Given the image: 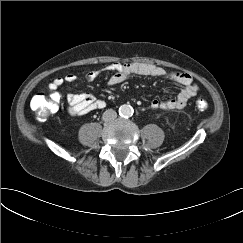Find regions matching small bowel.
Instances as JSON below:
<instances>
[{
    "mask_svg": "<svg viewBox=\"0 0 243 243\" xmlns=\"http://www.w3.org/2000/svg\"><path fill=\"white\" fill-rule=\"evenodd\" d=\"M109 69L113 72L108 80L109 86L120 84L130 76L166 77L183 86L175 98L165 100L153 99L150 103L153 109H182L186 106L188 100L198 92V85L190 74L184 72H168L155 64L116 62L110 64ZM99 74L100 71H90L86 74V79L93 81ZM76 80L77 76L74 74H68L63 78H56L49 84V91L50 93H58V89L64 83L74 84ZM105 106L106 101L104 99L96 98L90 93L69 92L65 98V107L71 116H83L94 110L103 109Z\"/></svg>",
    "mask_w": 243,
    "mask_h": 243,
    "instance_id": "1",
    "label": "small bowel"
}]
</instances>
